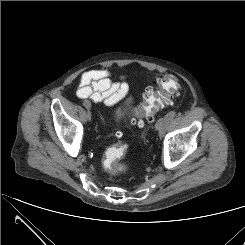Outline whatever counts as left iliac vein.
<instances>
[{
	"mask_svg": "<svg viewBox=\"0 0 245 245\" xmlns=\"http://www.w3.org/2000/svg\"><path fill=\"white\" fill-rule=\"evenodd\" d=\"M164 125H165V117L160 118L155 125V129L159 132L160 136L164 134L163 132Z\"/></svg>",
	"mask_w": 245,
	"mask_h": 245,
	"instance_id": "left-iliac-vein-1",
	"label": "left iliac vein"
}]
</instances>
